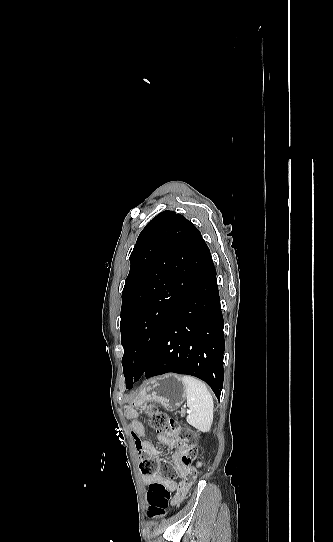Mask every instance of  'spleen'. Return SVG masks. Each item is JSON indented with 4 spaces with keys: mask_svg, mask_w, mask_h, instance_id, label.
I'll return each instance as SVG.
<instances>
[{
    "mask_svg": "<svg viewBox=\"0 0 333 542\" xmlns=\"http://www.w3.org/2000/svg\"><path fill=\"white\" fill-rule=\"evenodd\" d=\"M186 394L187 408L190 410L186 422L199 430L209 432L213 422V398L204 382L193 376L180 378Z\"/></svg>",
    "mask_w": 333,
    "mask_h": 542,
    "instance_id": "3e777b00",
    "label": "spleen"
}]
</instances>
